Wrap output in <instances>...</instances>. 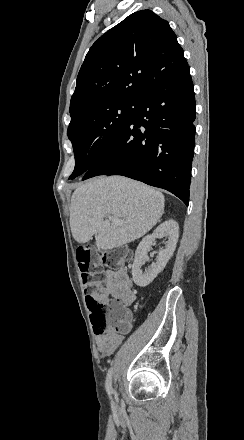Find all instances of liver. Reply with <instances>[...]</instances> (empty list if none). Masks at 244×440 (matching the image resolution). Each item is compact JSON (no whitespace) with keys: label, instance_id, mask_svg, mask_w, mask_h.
Here are the masks:
<instances>
[{"label":"liver","instance_id":"6515ba94","mask_svg":"<svg viewBox=\"0 0 244 440\" xmlns=\"http://www.w3.org/2000/svg\"><path fill=\"white\" fill-rule=\"evenodd\" d=\"M164 196L124 176L91 178L76 188L70 204V228L79 244L96 236L98 250H112L145 236L164 214ZM122 220L113 226L106 216Z\"/></svg>","mask_w":244,"mask_h":440}]
</instances>
